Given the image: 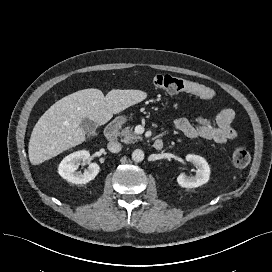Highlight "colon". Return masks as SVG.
Returning <instances> with one entry per match:
<instances>
[{
	"instance_id": "obj_1",
	"label": "colon",
	"mask_w": 272,
	"mask_h": 272,
	"mask_svg": "<svg viewBox=\"0 0 272 272\" xmlns=\"http://www.w3.org/2000/svg\"><path fill=\"white\" fill-rule=\"evenodd\" d=\"M153 84L157 89L170 95L185 92L204 100H212L215 96L214 91L205 85L168 74L155 76ZM232 161L237 169H243L250 163V154L245 149H236L233 153Z\"/></svg>"
}]
</instances>
